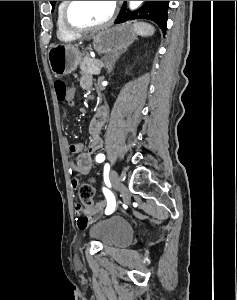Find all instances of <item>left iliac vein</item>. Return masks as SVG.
I'll return each instance as SVG.
<instances>
[{
  "instance_id": "4c4485c4",
  "label": "left iliac vein",
  "mask_w": 237,
  "mask_h": 300,
  "mask_svg": "<svg viewBox=\"0 0 237 300\" xmlns=\"http://www.w3.org/2000/svg\"><path fill=\"white\" fill-rule=\"evenodd\" d=\"M110 180H111L112 188L115 191L124 190V185L121 182V180L119 179L118 174H117V172L114 169H112L110 171Z\"/></svg>"
}]
</instances>
